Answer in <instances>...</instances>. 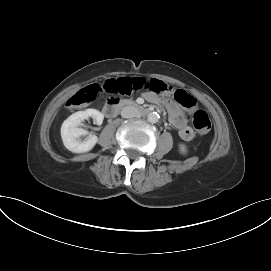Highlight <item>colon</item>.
<instances>
[{"label":"colon","mask_w":271,"mask_h":271,"mask_svg":"<svg viewBox=\"0 0 271 271\" xmlns=\"http://www.w3.org/2000/svg\"><path fill=\"white\" fill-rule=\"evenodd\" d=\"M149 83L142 78H119L107 81L103 87L92 84L75 93L66 103L70 109L80 108L91 103L101 90L112 94L129 95L135 91L143 89V84ZM174 99L181 106L192 109L196 105L195 99L183 90L174 93ZM192 122L199 134L205 135L211 129V121L208 114L203 110L194 112Z\"/></svg>","instance_id":"5ec220e1"}]
</instances>
